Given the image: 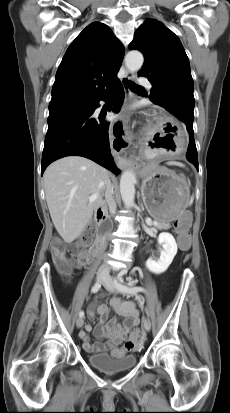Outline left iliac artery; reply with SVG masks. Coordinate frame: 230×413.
Masks as SVG:
<instances>
[{
  "label": "left iliac artery",
  "instance_id": "1",
  "mask_svg": "<svg viewBox=\"0 0 230 413\" xmlns=\"http://www.w3.org/2000/svg\"><path fill=\"white\" fill-rule=\"evenodd\" d=\"M114 284L120 292L125 293V294L137 295V293L139 292H145V289L142 287H138V286L129 287L127 285H124L118 282L117 279H114Z\"/></svg>",
  "mask_w": 230,
  "mask_h": 413
}]
</instances>
